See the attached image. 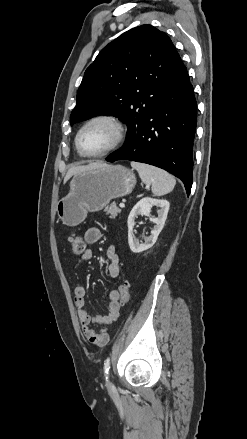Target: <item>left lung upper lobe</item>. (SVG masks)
<instances>
[{"label":"left lung upper lobe","mask_w":247,"mask_h":439,"mask_svg":"<svg viewBox=\"0 0 247 439\" xmlns=\"http://www.w3.org/2000/svg\"><path fill=\"white\" fill-rule=\"evenodd\" d=\"M185 70L164 32L151 25L133 28L104 47L86 69L70 123L115 116L126 123L128 140L150 115L160 93Z\"/></svg>","instance_id":"5c2ea615"}]
</instances>
